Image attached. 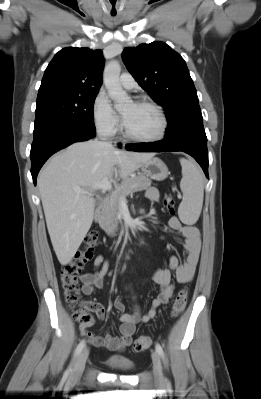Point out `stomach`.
Returning a JSON list of instances; mask_svg holds the SVG:
<instances>
[{
	"mask_svg": "<svg viewBox=\"0 0 261 399\" xmlns=\"http://www.w3.org/2000/svg\"><path fill=\"white\" fill-rule=\"evenodd\" d=\"M143 173L151 179L162 181L169 175L166 164L159 158H151L141 165Z\"/></svg>",
	"mask_w": 261,
	"mask_h": 399,
	"instance_id": "0dacf381",
	"label": "stomach"
}]
</instances>
